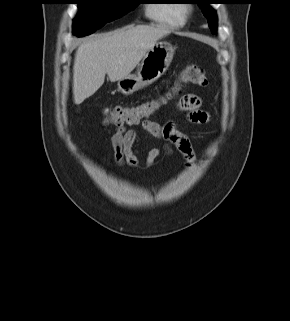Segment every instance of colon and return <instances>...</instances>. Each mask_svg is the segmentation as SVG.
<instances>
[{
  "mask_svg": "<svg viewBox=\"0 0 290 321\" xmlns=\"http://www.w3.org/2000/svg\"><path fill=\"white\" fill-rule=\"evenodd\" d=\"M205 71L198 66L190 65L183 69L177 85L192 84L199 87L208 86ZM170 98L165 94L159 98L144 101L134 106H113L105 108V123L115 126L136 125L153 116Z\"/></svg>",
  "mask_w": 290,
  "mask_h": 321,
  "instance_id": "colon-1",
  "label": "colon"
}]
</instances>
